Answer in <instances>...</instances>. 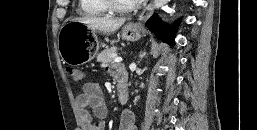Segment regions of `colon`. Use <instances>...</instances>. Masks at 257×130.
<instances>
[{
  "mask_svg": "<svg viewBox=\"0 0 257 130\" xmlns=\"http://www.w3.org/2000/svg\"><path fill=\"white\" fill-rule=\"evenodd\" d=\"M67 73L72 78V80L76 83H81L85 79V72L77 67H69L67 69Z\"/></svg>",
  "mask_w": 257,
  "mask_h": 130,
  "instance_id": "1",
  "label": "colon"
}]
</instances>
